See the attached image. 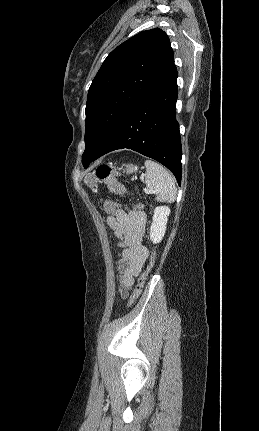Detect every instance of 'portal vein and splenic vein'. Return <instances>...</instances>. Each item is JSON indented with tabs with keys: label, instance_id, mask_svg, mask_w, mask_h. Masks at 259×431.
Segmentation results:
<instances>
[{
	"label": "portal vein and splenic vein",
	"instance_id": "18ae733b",
	"mask_svg": "<svg viewBox=\"0 0 259 431\" xmlns=\"http://www.w3.org/2000/svg\"><path fill=\"white\" fill-rule=\"evenodd\" d=\"M145 192H146V193H150V191H148V190H145Z\"/></svg>",
	"mask_w": 259,
	"mask_h": 431
}]
</instances>
